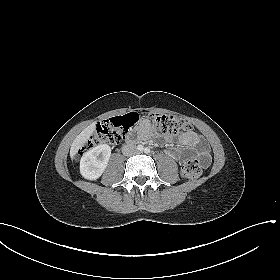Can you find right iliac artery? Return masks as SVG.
I'll return each instance as SVG.
<instances>
[{
	"label": "right iliac artery",
	"mask_w": 280,
	"mask_h": 280,
	"mask_svg": "<svg viewBox=\"0 0 280 280\" xmlns=\"http://www.w3.org/2000/svg\"><path fill=\"white\" fill-rule=\"evenodd\" d=\"M137 149H138L139 151H143L144 147H143L142 145H138V146H137Z\"/></svg>",
	"instance_id": "right-iliac-artery-1"
}]
</instances>
